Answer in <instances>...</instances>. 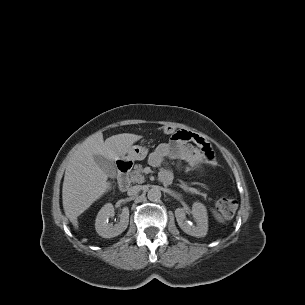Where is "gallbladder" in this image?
Returning <instances> with one entry per match:
<instances>
[{
  "label": "gallbladder",
  "mask_w": 305,
  "mask_h": 305,
  "mask_svg": "<svg viewBox=\"0 0 305 305\" xmlns=\"http://www.w3.org/2000/svg\"><path fill=\"white\" fill-rule=\"evenodd\" d=\"M94 160L109 177L116 175V167L112 160L106 159L101 155H94Z\"/></svg>",
  "instance_id": "1"
}]
</instances>
